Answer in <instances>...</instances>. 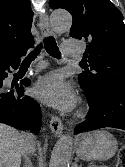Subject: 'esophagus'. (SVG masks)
Instances as JSON below:
<instances>
[{
  "label": "esophagus",
  "instance_id": "34e87169",
  "mask_svg": "<svg viewBox=\"0 0 125 167\" xmlns=\"http://www.w3.org/2000/svg\"><path fill=\"white\" fill-rule=\"evenodd\" d=\"M39 28L41 33L45 37L53 36L55 35L53 28L51 27L49 23V18L47 12H44L40 15L39 19ZM50 129L52 133L56 136H60L63 132V123L61 119L57 116H53L50 121Z\"/></svg>",
  "mask_w": 125,
  "mask_h": 167
}]
</instances>
